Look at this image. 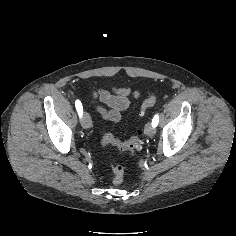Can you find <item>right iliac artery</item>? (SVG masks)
Segmentation results:
<instances>
[{"label":"right iliac artery","mask_w":236,"mask_h":236,"mask_svg":"<svg viewBox=\"0 0 236 236\" xmlns=\"http://www.w3.org/2000/svg\"><path fill=\"white\" fill-rule=\"evenodd\" d=\"M75 106H76V109H77V112H78L79 116L82 117L83 108H82L81 102L79 100H76Z\"/></svg>","instance_id":"82829eb1"}]
</instances>
